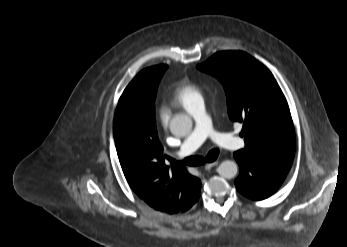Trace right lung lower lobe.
Wrapping results in <instances>:
<instances>
[{"label": "right lung lower lobe", "instance_id": "right-lung-lower-lobe-1", "mask_svg": "<svg viewBox=\"0 0 347 247\" xmlns=\"http://www.w3.org/2000/svg\"><path fill=\"white\" fill-rule=\"evenodd\" d=\"M198 199H199V196H198L197 198H195L194 200H192L182 211L188 210L190 207H192V205H193L194 203L197 202Z\"/></svg>", "mask_w": 347, "mask_h": 247}]
</instances>
